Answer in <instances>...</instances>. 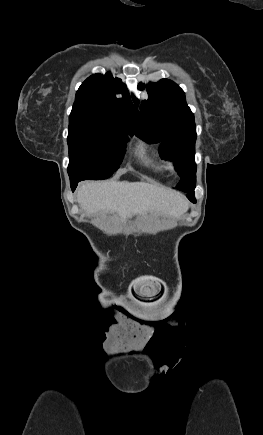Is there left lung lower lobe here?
<instances>
[{"label": "left lung lower lobe", "mask_w": 263, "mask_h": 435, "mask_svg": "<svg viewBox=\"0 0 263 435\" xmlns=\"http://www.w3.org/2000/svg\"><path fill=\"white\" fill-rule=\"evenodd\" d=\"M187 197L189 198L190 201H192L193 203L196 202V199L194 197V191H192L191 193H187Z\"/></svg>", "instance_id": "left-lung-lower-lobe-1"}]
</instances>
